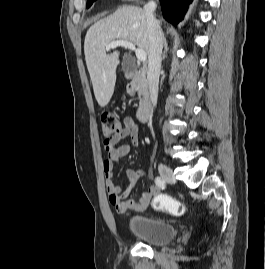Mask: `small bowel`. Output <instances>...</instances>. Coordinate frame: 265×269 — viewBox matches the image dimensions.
Masks as SVG:
<instances>
[{
	"label": "small bowel",
	"instance_id": "1",
	"mask_svg": "<svg viewBox=\"0 0 265 269\" xmlns=\"http://www.w3.org/2000/svg\"><path fill=\"white\" fill-rule=\"evenodd\" d=\"M128 136L131 137V144L122 143V140ZM138 143L139 126L130 116H126L123 119V129L119 136L104 141V149L107 153V158L102 164L105 175V187L109 195L110 204L121 214L127 211L136 213L146 212L150 207L152 199L160 192V188L157 185H151L147 191L141 194L138 200L128 198L144 173L142 169L134 170L129 168L126 170L127 186L124 190L115 184L112 179L114 163L127 156L132 146H136Z\"/></svg>",
	"mask_w": 265,
	"mask_h": 269
}]
</instances>
